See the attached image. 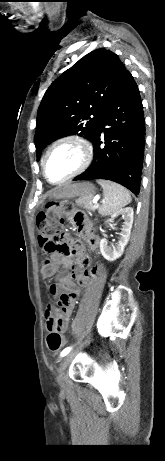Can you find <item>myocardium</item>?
I'll return each mask as SVG.
<instances>
[{"mask_svg": "<svg viewBox=\"0 0 165 461\" xmlns=\"http://www.w3.org/2000/svg\"><path fill=\"white\" fill-rule=\"evenodd\" d=\"M65 144H70L76 146V148L79 150L80 155H81V161L78 164V166L70 172L67 176L64 178L58 180V181H52L46 172V161L49 156V154L58 146L60 145H65ZM93 159V150L92 146L90 143L82 136L79 135H65L62 136L55 141H53L48 148L46 149L43 159H42V172L44 178L51 184H60L64 183L79 174L83 173L91 164Z\"/></svg>", "mask_w": 165, "mask_h": 461, "instance_id": "obj_1", "label": "myocardium"}]
</instances>
